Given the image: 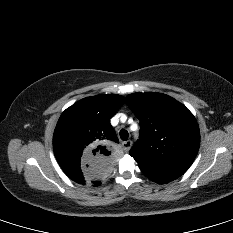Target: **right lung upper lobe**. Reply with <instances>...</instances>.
<instances>
[{
    "label": "right lung upper lobe",
    "instance_id": "cb5924a9",
    "mask_svg": "<svg viewBox=\"0 0 233 233\" xmlns=\"http://www.w3.org/2000/svg\"><path fill=\"white\" fill-rule=\"evenodd\" d=\"M124 97L103 94L84 98L60 116L53 135L55 157L66 175L83 188L109 185L116 170L119 140L110 119Z\"/></svg>",
    "mask_w": 233,
    "mask_h": 233
}]
</instances>
